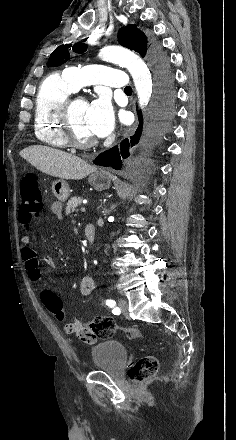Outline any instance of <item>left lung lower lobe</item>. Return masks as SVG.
<instances>
[{"mask_svg": "<svg viewBox=\"0 0 236 440\" xmlns=\"http://www.w3.org/2000/svg\"><path fill=\"white\" fill-rule=\"evenodd\" d=\"M156 64L159 97L154 112L153 122L146 130V138L148 139L167 132L170 128V121L174 115L173 103L175 94L171 89V77L167 71V64L159 61H156ZM138 115L139 126L134 135L131 136L130 139H124L119 146H114L100 154L94 160L96 165L105 167L111 166L117 170L121 169L122 160L129 157V148L139 142L142 133L143 119L141 111H138Z\"/></svg>", "mask_w": 236, "mask_h": 440, "instance_id": "0a47b994", "label": "left lung lower lobe"}]
</instances>
